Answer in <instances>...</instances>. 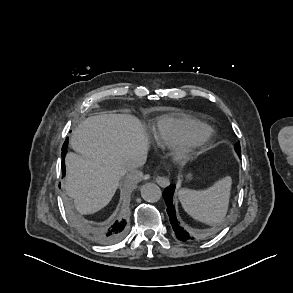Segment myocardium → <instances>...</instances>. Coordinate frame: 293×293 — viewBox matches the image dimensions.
<instances>
[{
	"mask_svg": "<svg viewBox=\"0 0 293 293\" xmlns=\"http://www.w3.org/2000/svg\"><path fill=\"white\" fill-rule=\"evenodd\" d=\"M213 129L204 123L192 127L186 138L178 145L172 146L170 152L171 161L177 164L187 163L200 149H202L212 138Z\"/></svg>",
	"mask_w": 293,
	"mask_h": 293,
	"instance_id": "1",
	"label": "myocardium"
}]
</instances>
